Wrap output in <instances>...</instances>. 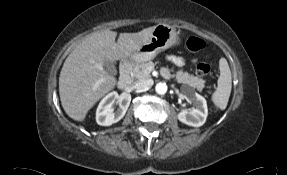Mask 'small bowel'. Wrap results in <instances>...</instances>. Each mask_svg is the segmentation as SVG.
<instances>
[{
  "instance_id": "small-bowel-1",
  "label": "small bowel",
  "mask_w": 287,
  "mask_h": 175,
  "mask_svg": "<svg viewBox=\"0 0 287 175\" xmlns=\"http://www.w3.org/2000/svg\"><path fill=\"white\" fill-rule=\"evenodd\" d=\"M168 59L173 62L176 66L178 67H181L184 65V60L183 58L179 57V56H169ZM162 73L165 75V76H168V73L166 70H163Z\"/></svg>"
}]
</instances>
